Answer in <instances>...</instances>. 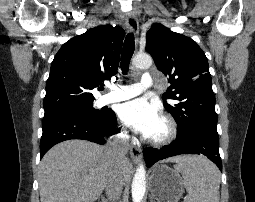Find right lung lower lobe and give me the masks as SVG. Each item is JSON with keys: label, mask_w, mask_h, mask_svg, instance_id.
<instances>
[{"label": "right lung lower lobe", "mask_w": 255, "mask_h": 202, "mask_svg": "<svg viewBox=\"0 0 255 202\" xmlns=\"http://www.w3.org/2000/svg\"><path fill=\"white\" fill-rule=\"evenodd\" d=\"M102 121H95L80 114H59L44 116L43 133L40 141V158L55 144L69 139H83L104 144L105 138L119 133L116 116L108 111Z\"/></svg>", "instance_id": "obj_1"}]
</instances>
